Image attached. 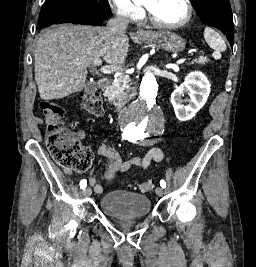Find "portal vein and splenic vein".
<instances>
[{"mask_svg":"<svg viewBox=\"0 0 256 267\" xmlns=\"http://www.w3.org/2000/svg\"><path fill=\"white\" fill-rule=\"evenodd\" d=\"M174 63L175 66H179L181 63H185V60L177 59ZM101 64L102 60H96V62H94V66H101ZM100 70L101 72H103V74H111V72H117V73L122 72L123 68L122 66H102Z\"/></svg>","mask_w":256,"mask_h":267,"instance_id":"portal-vein-and-splenic-vein-1","label":"portal vein and splenic vein"}]
</instances>
